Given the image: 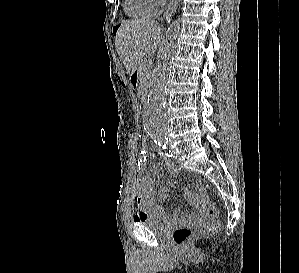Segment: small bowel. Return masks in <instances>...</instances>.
Here are the masks:
<instances>
[{
	"mask_svg": "<svg viewBox=\"0 0 299 273\" xmlns=\"http://www.w3.org/2000/svg\"><path fill=\"white\" fill-rule=\"evenodd\" d=\"M147 152L148 150L142 149L136 160V167L140 172L144 169ZM166 165L170 174L172 176H177V167L170 161H167ZM184 196L194 207H201V201L197 195L188 190H184ZM168 198L169 192L166 189H161L158 194V201L164 203L168 200ZM134 200L136 202V212L133 217L135 221L139 220L148 213H153L158 217L164 216L163 206L156 203V197L151 187V179L149 176L144 175L136 178V192ZM190 219L191 217L184 218L179 212H175L171 217L172 222H180Z\"/></svg>",
	"mask_w": 299,
	"mask_h": 273,
	"instance_id": "small-bowel-1",
	"label": "small bowel"
}]
</instances>
